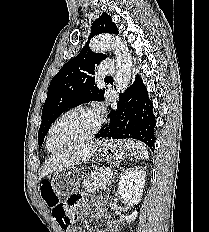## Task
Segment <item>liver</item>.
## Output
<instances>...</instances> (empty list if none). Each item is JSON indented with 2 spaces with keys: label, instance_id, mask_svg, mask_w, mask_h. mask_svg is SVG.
Returning <instances> with one entry per match:
<instances>
[{
  "label": "liver",
  "instance_id": "obj_1",
  "mask_svg": "<svg viewBox=\"0 0 209 232\" xmlns=\"http://www.w3.org/2000/svg\"><path fill=\"white\" fill-rule=\"evenodd\" d=\"M99 145L100 141H90L70 146L61 152L56 153L44 165L41 177H44L53 171L72 167L88 161Z\"/></svg>",
  "mask_w": 209,
  "mask_h": 232
}]
</instances>
